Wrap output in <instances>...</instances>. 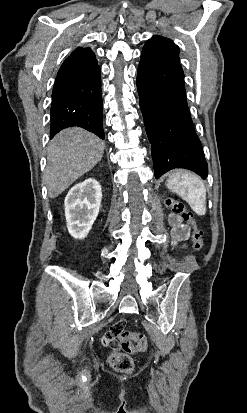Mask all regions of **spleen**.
Wrapping results in <instances>:
<instances>
[{"instance_id":"1","label":"spleen","mask_w":247,"mask_h":413,"mask_svg":"<svg viewBox=\"0 0 247 413\" xmlns=\"http://www.w3.org/2000/svg\"><path fill=\"white\" fill-rule=\"evenodd\" d=\"M167 186L186 200L197 215H205L206 186L200 176L189 170H178L170 176Z\"/></svg>"}]
</instances>
